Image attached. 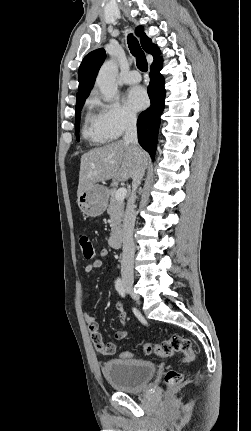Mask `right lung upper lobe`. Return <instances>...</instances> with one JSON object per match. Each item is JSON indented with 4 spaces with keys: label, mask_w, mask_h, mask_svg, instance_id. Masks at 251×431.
I'll return each instance as SVG.
<instances>
[{
    "label": "right lung upper lobe",
    "mask_w": 251,
    "mask_h": 431,
    "mask_svg": "<svg viewBox=\"0 0 251 431\" xmlns=\"http://www.w3.org/2000/svg\"><path fill=\"white\" fill-rule=\"evenodd\" d=\"M136 34L140 38L142 48L145 52L151 54L154 61L160 60V50L152 43V40L147 37L143 32L142 27L136 29ZM106 57L105 50L103 48L96 49L90 52L82 61L78 71V93L76 95L77 100L88 97L90 90L92 89L98 71Z\"/></svg>",
    "instance_id": "right-lung-upper-lobe-1"
}]
</instances>
